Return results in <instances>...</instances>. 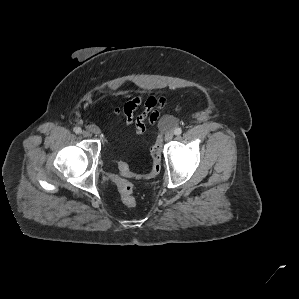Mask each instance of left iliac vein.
<instances>
[{"label": "left iliac vein", "mask_w": 299, "mask_h": 299, "mask_svg": "<svg viewBox=\"0 0 299 299\" xmlns=\"http://www.w3.org/2000/svg\"><path fill=\"white\" fill-rule=\"evenodd\" d=\"M173 136H174V133L173 131H168L166 134H165V141L166 142H169L173 139Z\"/></svg>", "instance_id": "left-iliac-vein-1"}]
</instances>
